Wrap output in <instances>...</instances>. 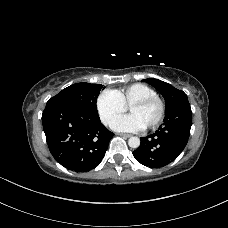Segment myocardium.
Instances as JSON below:
<instances>
[{"instance_id": "myocardium-1", "label": "myocardium", "mask_w": 228, "mask_h": 228, "mask_svg": "<svg viewBox=\"0 0 228 228\" xmlns=\"http://www.w3.org/2000/svg\"><path fill=\"white\" fill-rule=\"evenodd\" d=\"M152 103L158 104L159 113H158L157 118L154 120V122H152L149 126L146 127V129H149V130L157 128L162 123V121L165 117V114H166V103H165V101L161 97H159L158 95H155V96H150V97L138 99L129 105V108L134 107V106L144 107V106L150 105Z\"/></svg>"}]
</instances>
